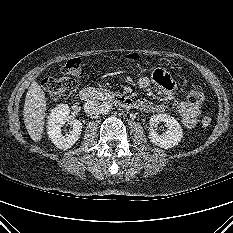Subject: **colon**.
I'll return each mask as SVG.
<instances>
[{
  "mask_svg": "<svg viewBox=\"0 0 233 233\" xmlns=\"http://www.w3.org/2000/svg\"><path fill=\"white\" fill-rule=\"evenodd\" d=\"M138 54L131 53L126 55L128 60H137ZM62 72L64 76L61 77H47L43 80L42 86L45 91L53 98L65 99L70 97L76 90V79L80 78L83 73L82 61L79 58L69 59L64 65ZM204 100V93L200 90H192L188 95V102L194 105L202 103ZM201 124L207 127L211 124V117L204 115L201 119Z\"/></svg>",
  "mask_w": 233,
  "mask_h": 233,
  "instance_id": "colon-1",
  "label": "colon"
}]
</instances>
